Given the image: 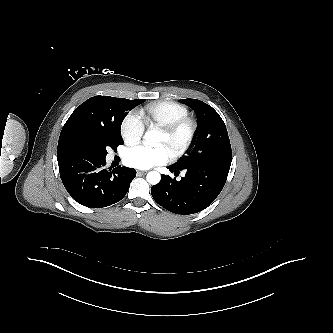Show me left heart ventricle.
<instances>
[{
  "mask_svg": "<svg viewBox=\"0 0 333 333\" xmlns=\"http://www.w3.org/2000/svg\"><path fill=\"white\" fill-rule=\"evenodd\" d=\"M184 137V132H181L175 139V143H179L180 141H182ZM159 145H163L166 146L169 150H171V146L169 144V140L168 137L163 133L160 132V136H159V141H158Z\"/></svg>",
  "mask_w": 333,
  "mask_h": 333,
  "instance_id": "left-heart-ventricle-1",
  "label": "left heart ventricle"
}]
</instances>
